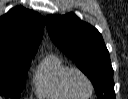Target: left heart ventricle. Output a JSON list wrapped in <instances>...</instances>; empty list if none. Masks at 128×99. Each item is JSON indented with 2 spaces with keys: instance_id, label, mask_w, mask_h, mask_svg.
I'll return each mask as SVG.
<instances>
[{
  "instance_id": "b2bd125f",
  "label": "left heart ventricle",
  "mask_w": 128,
  "mask_h": 99,
  "mask_svg": "<svg viewBox=\"0 0 128 99\" xmlns=\"http://www.w3.org/2000/svg\"><path fill=\"white\" fill-rule=\"evenodd\" d=\"M70 86L72 91L79 97H86L90 93V87L87 81L77 73H74L70 77Z\"/></svg>"
}]
</instances>
